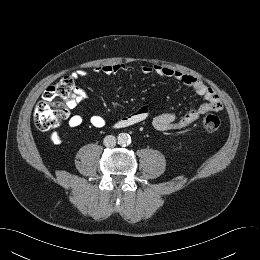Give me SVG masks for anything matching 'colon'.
<instances>
[{
  "label": "colon",
  "mask_w": 260,
  "mask_h": 260,
  "mask_svg": "<svg viewBox=\"0 0 260 260\" xmlns=\"http://www.w3.org/2000/svg\"><path fill=\"white\" fill-rule=\"evenodd\" d=\"M76 99L75 83L70 76H64L47 87L34 110L36 127L42 131L55 129L66 117L70 103ZM201 125L206 132L216 133L221 122L216 114L210 113L202 118Z\"/></svg>",
  "instance_id": "1"
}]
</instances>
